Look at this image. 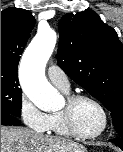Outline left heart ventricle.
I'll return each mask as SVG.
<instances>
[{"mask_svg": "<svg viewBox=\"0 0 123 152\" xmlns=\"http://www.w3.org/2000/svg\"><path fill=\"white\" fill-rule=\"evenodd\" d=\"M65 107V103L62 109ZM73 118L76 128L86 134L97 132L103 123L100 110L90 101H78L73 109Z\"/></svg>", "mask_w": 123, "mask_h": 152, "instance_id": "b2bd125f", "label": "left heart ventricle"}]
</instances>
